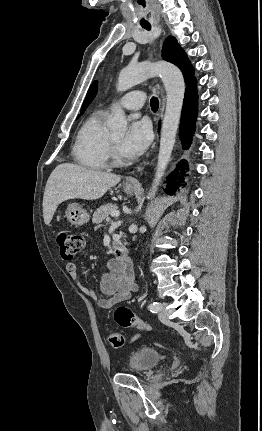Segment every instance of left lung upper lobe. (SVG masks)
Listing matches in <instances>:
<instances>
[{
  "label": "left lung upper lobe",
  "mask_w": 262,
  "mask_h": 431,
  "mask_svg": "<svg viewBox=\"0 0 262 431\" xmlns=\"http://www.w3.org/2000/svg\"><path fill=\"white\" fill-rule=\"evenodd\" d=\"M162 57L166 61H169L177 65L185 78L186 84L196 81L193 67L191 66L185 52L179 46L174 37H168L163 45Z\"/></svg>",
  "instance_id": "5c2ea615"
}]
</instances>
